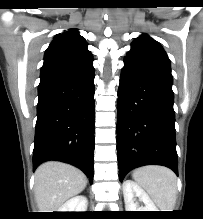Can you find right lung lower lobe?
<instances>
[{
    "instance_id": "1",
    "label": "right lung lower lobe",
    "mask_w": 203,
    "mask_h": 219,
    "mask_svg": "<svg viewBox=\"0 0 203 219\" xmlns=\"http://www.w3.org/2000/svg\"><path fill=\"white\" fill-rule=\"evenodd\" d=\"M94 68L92 60L41 70L33 169L48 160L80 168L93 180Z\"/></svg>"
}]
</instances>
